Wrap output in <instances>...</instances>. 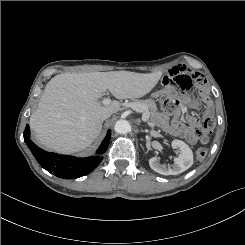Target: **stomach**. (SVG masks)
I'll return each instance as SVG.
<instances>
[{
    "label": "stomach",
    "instance_id": "0dacf381",
    "mask_svg": "<svg viewBox=\"0 0 245 245\" xmlns=\"http://www.w3.org/2000/svg\"><path fill=\"white\" fill-rule=\"evenodd\" d=\"M160 94H161V92H156V93H153V94H152V97L157 98V97H158Z\"/></svg>",
    "mask_w": 245,
    "mask_h": 245
}]
</instances>
